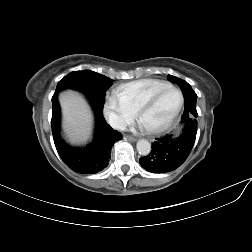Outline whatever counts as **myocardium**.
I'll return each instance as SVG.
<instances>
[{
    "label": "myocardium",
    "instance_id": "obj_1",
    "mask_svg": "<svg viewBox=\"0 0 252 252\" xmlns=\"http://www.w3.org/2000/svg\"><path fill=\"white\" fill-rule=\"evenodd\" d=\"M168 91L175 92L178 95V98H179L178 104L175 107V109L172 111V113L169 115V117L163 123H161L160 125L155 126V127L146 128V130L151 134L162 133V132L166 131L174 123V121L177 118V116L179 115V113L182 109L183 103H184V97H183L181 91L175 87L169 86V87L162 89L161 91L155 93L151 97H149L137 108L136 115H137V118L140 120V117L142 116V114L146 110L151 108Z\"/></svg>",
    "mask_w": 252,
    "mask_h": 252
}]
</instances>
